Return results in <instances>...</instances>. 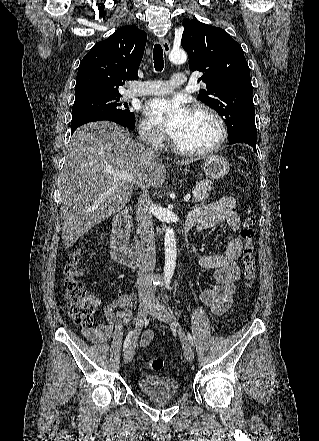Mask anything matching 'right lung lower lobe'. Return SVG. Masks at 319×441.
<instances>
[{"label":"right lung lower lobe","instance_id":"right-lung-lower-lobe-1","mask_svg":"<svg viewBox=\"0 0 319 441\" xmlns=\"http://www.w3.org/2000/svg\"><path fill=\"white\" fill-rule=\"evenodd\" d=\"M101 120H107V121H112L115 122L117 124L122 125L123 127L129 128L124 122H122L120 119L114 117V116H108V115H96V116H91V117H86L83 119H80L76 122L71 123V133L73 134L74 131L81 125L89 123V122H94V121H101Z\"/></svg>","mask_w":319,"mask_h":441}]
</instances>
